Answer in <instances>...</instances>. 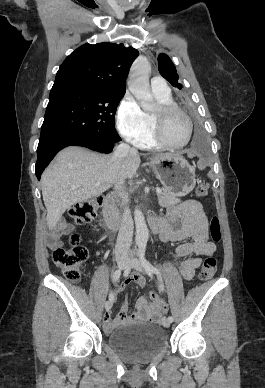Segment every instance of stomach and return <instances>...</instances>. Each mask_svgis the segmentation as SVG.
<instances>
[{"label":"stomach","instance_id":"obj_1","mask_svg":"<svg viewBox=\"0 0 265 388\" xmlns=\"http://www.w3.org/2000/svg\"><path fill=\"white\" fill-rule=\"evenodd\" d=\"M150 165L164 189L175 196H185L194 189L195 170L181 155H156L150 159Z\"/></svg>","mask_w":265,"mask_h":388}]
</instances>
